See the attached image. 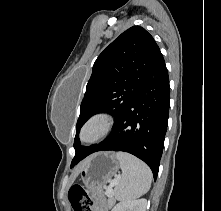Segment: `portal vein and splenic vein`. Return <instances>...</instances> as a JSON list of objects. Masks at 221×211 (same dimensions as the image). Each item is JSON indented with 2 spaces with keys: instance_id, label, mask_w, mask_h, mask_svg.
Returning a JSON list of instances; mask_svg holds the SVG:
<instances>
[{
  "instance_id": "1",
  "label": "portal vein and splenic vein",
  "mask_w": 221,
  "mask_h": 211,
  "mask_svg": "<svg viewBox=\"0 0 221 211\" xmlns=\"http://www.w3.org/2000/svg\"><path fill=\"white\" fill-rule=\"evenodd\" d=\"M119 182V177H115L114 180L111 181L110 185L106 188L107 196L112 197V188L117 185Z\"/></svg>"
}]
</instances>
